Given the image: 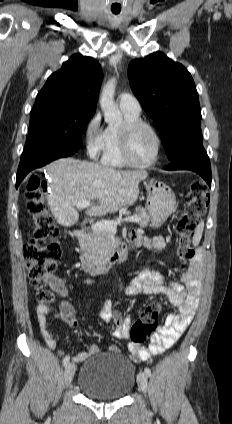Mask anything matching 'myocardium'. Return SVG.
<instances>
[{"mask_svg": "<svg viewBox=\"0 0 232 424\" xmlns=\"http://www.w3.org/2000/svg\"><path fill=\"white\" fill-rule=\"evenodd\" d=\"M142 128L148 129L156 139L155 155L150 161L145 163L136 162L131 156L132 137L139 129ZM119 137L121 145V154L127 165L136 168H148L155 165L159 160L162 150V139L158 131L151 124L142 120L125 122V124L120 128Z\"/></svg>", "mask_w": 232, "mask_h": 424, "instance_id": "f54148a6", "label": "myocardium"}]
</instances>
